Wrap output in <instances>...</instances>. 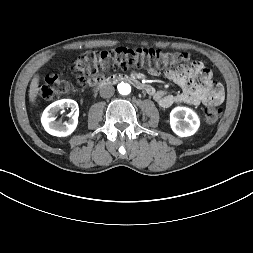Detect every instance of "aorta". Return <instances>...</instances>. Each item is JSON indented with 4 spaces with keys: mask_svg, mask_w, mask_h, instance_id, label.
<instances>
[{
    "mask_svg": "<svg viewBox=\"0 0 253 253\" xmlns=\"http://www.w3.org/2000/svg\"><path fill=\"white\" fill-rule=\"evenodd\" d=\"M117 89L121 95H128L131 92L130 84L124 82L119 83Z\"/></svg>",
    "mask_w": 253,
    "mask_h": 253,
    "instance_id": "aorta-1",
    "label": "aorta"
}]
</instances>
